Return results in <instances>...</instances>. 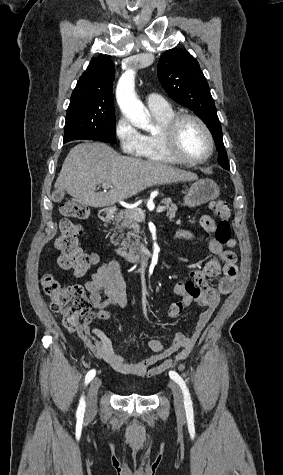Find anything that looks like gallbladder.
<instances>
[{
    "label": "gallbladder",
    "instance_id": "1",
    "mask_svg": "<svg viewBox=\"0 0 283 475\" xmlns=\"http://www.w3.org/2000/svg\"><path fill=\"white\" fill-rule=\"evenodd\" d=\"M65 196V192H58V190H55L52 194V200L53 202H61Z\"/></svg>",
    "mask_w": 283,
    "mask_h": 475
}]
</instances>
